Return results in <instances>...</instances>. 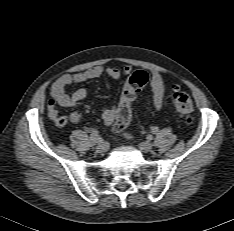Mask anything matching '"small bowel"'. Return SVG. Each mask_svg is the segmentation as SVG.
Here are the masks:
<instances>
[{"mask_svg":"<svg viewBox=\"0 0 234 231\" xmlns=\"http://www.w3.org/2000/svg\"><path fill=\"white\" fill-rule=\"evenodd\" d=\"M132 72L131 66H125L123 69L118 67H103L94 66L87 70L77 72L74 74H66L56 79L50 89L51 99L47 105L48 115L51 119H56L58 112L55 105L61 107H73L82 100H84L88 92L85 88H79L72 94H68L66 91L67 86L73 83H80L89 81L95 78H99L106 74L112 79H119L121 76H128ZM150 85L153 92V107L155 110L163 109L168 102L169 95L166 92L165 81L159 72L152 71ZM119 107L116 105L104 107L102 110V119L105 125L111 126L116 121ZM82 113L79 111L72 112L69 119L73 123H79L82 120Z\"/></svg>","mask_w":234,"mask_h":231,"instance_id":"obj_1","label":"small bowel"}]
</instances>
